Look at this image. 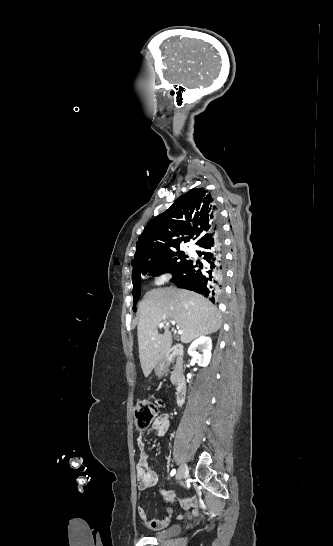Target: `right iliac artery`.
<instances>
[{"mask_svg": "<svg viewBox=\"0 0 333 546\" xmlns=\"http://www.w3.org/2000/svg\"><path fill=\"white\" fill-rule=\"evenodd\" d=\"M175 473H176V470H175V469H173V470L171 471V473H170V476H171V477H172V476H174V475H175Z\"/></svg>", "mask_w": 333, "mask_h": 546, "instance_id": "obj_1", "label": "right iliac artery"}]
</instances>
